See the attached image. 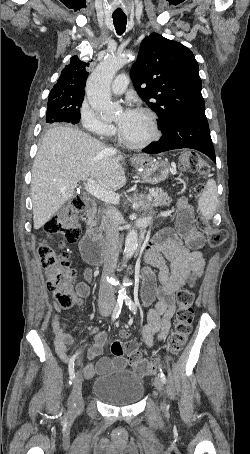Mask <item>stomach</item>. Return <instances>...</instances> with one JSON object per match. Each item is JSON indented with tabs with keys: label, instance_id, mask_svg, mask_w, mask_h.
Here are the masks:
<instances>
[{
	"label": "stomach",
	"instance_id": "1",
	"mask_svg": "<svg viewBox=\"0 0 250 454\" xmlns=\"http://www.w3.org/2000/svg\"><path fill=\"white\" fill-rule=\"evenodd\" d=\"M132 165L145 181L152 184L163 181L171 172V164L167 159L156 160L147 155L134 157Z\"/></svg>",
	"mask_w": 250,
	"mask_h": 454
}]
</instances>
